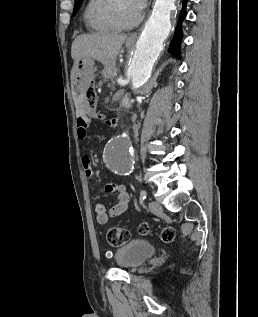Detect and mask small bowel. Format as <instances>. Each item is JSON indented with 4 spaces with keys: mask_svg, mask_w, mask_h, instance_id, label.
Masks as SVG:
<instances>
[{
    "mask_svg": "<svg viewBox=\"0 0 258 317\" xmlns=\"http://www.w3.org/2000/svg\"><path fill=\"white\" fill-rule=\"evenodd\" d=\"M107 126H117L118 122L116 120H108L105 122ZM91 123L89 120L80 118L78 119L77 123V136L80 140H85L88 136V129ZM81 164L85 173V176L90 178L94 175L92 161L89 156L84 155L81 158ZM103 193L112 194L115 193L117 195V201L115 205L111 208L107 209V207L102 204L98 203L95 206V212L97 214V222L99 224H106L111 219L122 215L124 212L127 211L129 207V195L128 192L123 184L117 182H110L107 183L103 189Z\"/></svg>",
    "mask_w": 258,
    "mask_h": 317,
    "instance_id": "obj_1",
    "label": "small bowel"
}]
</instances>
